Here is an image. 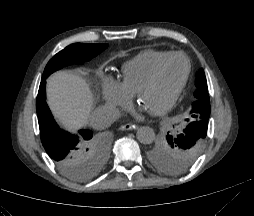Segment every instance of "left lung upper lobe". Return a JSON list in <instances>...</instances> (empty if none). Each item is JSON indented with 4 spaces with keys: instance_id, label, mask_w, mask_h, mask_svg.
<instances>
[{
    "instance_id": "obj_1",
    "label": "left lung upper lobe",
    "mask_w": 254,
    "mask_h": 216,
    "mask_svg": "<svg viewBox=\"0 0 254 216\" xmlns=\"http://www.w3.org/2000/svg\"><path fill=\"white\" fill-rule=\"evenodd\" d=\"M196 101L192 104L191 119L186 128L178 135L169 134L162 144L149 151L148 157L153 165L167 173H179L186 170L201 151L207 135L210 102L207 81L203 69L196 75Z\"/></svg>"
}]
</instances>
